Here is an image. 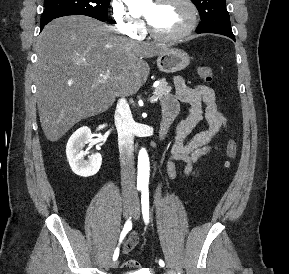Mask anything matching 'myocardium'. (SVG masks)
I'll list each match as a JSON object with an SVG mask.
<instances>
[{
	"mask_svg": "<svg viewBox=\"0 0 289 274\" xmlns=\"http://www.w3.org/2000/svg\"><path fill=\"white\" fill-rule=\"evenodd\" d=\"M168 1L169 0H155V3L161 4ZM182 2H184L187 5L190 11V20L187 26L180 32L174 34H162L157 32L150 24V22L145 18L146 29L151 37L160 41H168V42L179 41L188 37L196 29L199 21V11L197 5L194 3L193 0H182Z\"/></svg>",
	"mask_w": 289,
	"mask_h": 274,
	"instance_id": "myocardium-1",
	"label": "myocardium"
}]
</instances>
